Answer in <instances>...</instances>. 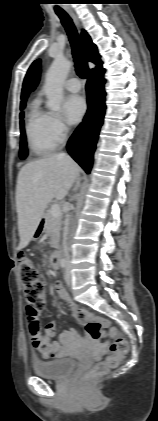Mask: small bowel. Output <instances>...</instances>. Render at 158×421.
Returning a JSON list of instances; mask_svg holds the SVG:
<instances>
[{
    "mask_svg": "<svg viewBox=\"0 0 158 421\" xmlns=\"http://www.w3.org/2000/svg\"><path fill=\"white\" fill-rule=\"evenodd\" d=\"M53 289L55 295L67 304L72 316L80 324H82L79 319L80 315H91L89 312L78 307V305L70 298L65 287L60 282H56ZM27 314L28 329L32 346L36 351L42 354H51L57 358L64 357L66 350L63 345H68L74 342L86 344L87 342L85 338H80L78 334L72 329L62 332L59 335V341H51V337L56 334V323L52 322L48 324L45 333L43 334L40 330L39 322L34 320L35 316H33L28 309Z\"/></svg>",
    "mask_w": 158,
    "mask_h": 421,
    "instance_id": "1",
    "label": "small bowel"
}]
</instances>
